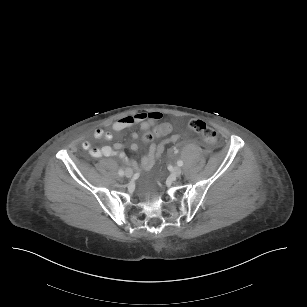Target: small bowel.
Wrapping results in <instances>:
<instances>
[{"mask_svg": "<svg viewBox=\"0 0 307 307\" xmlns=\"http://www.w3.org/2000/svg\"><path fill=\"white\" fill-rule=\"evenodd\" d=\"M162 119V114L158 111H151V112H137L131 115L124 116L118 119L112 125V131H105L103 129H96L93 132V136L96 139H103L106 141H110L113 138V133L121 132L135 124L140 125V129L144 132L150 126L156 125L158 126L160 120ZM131 138L136 140L138 138V134L133 132L131 134ZM83 149L89 151L90 155L94 158H101V157H111V156H118L119 158L123 159L126 164H129L133 167H137L135 161L128 160L126 158L125 153L122 151L123 145L117 143L113 146H103L101 148H92L91 142L86 140L82 143ZM164 146H160L157 149H149L148 153L142 157L140 161V168L141 169H150L157 161L159 156L162 154L164 150ZM130 149L135 152L138 150V145L133 143L130 146Z\"/></svg>", "mask_w": 307, "mask_h": 307, "instance_id": "obj_1", "label": "small bowel"}]
</instances>
